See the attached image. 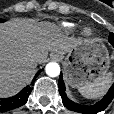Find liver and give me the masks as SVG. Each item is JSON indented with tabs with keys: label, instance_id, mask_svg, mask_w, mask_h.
I'll return each mask as SVG.
<instances>
[{
	"label": "liver",
	"instance_id": "1",
	"mask_svg": "<svg viewBox=\"0 0 114 114\" xmlns=\"http://www.w3.org/2000/svg\"><path fill=\"white\" fill-rule=\"evenodd\" d=\"M78 41L51 22L13 19L0 24V97L12 96L28 84L48 52L67 51Z\"/></svg>",
	"mask_w": 114,
	"mask_h": 114
}]
</instances>
